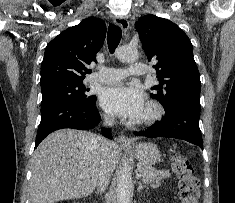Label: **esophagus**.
<instances>
[{
    "label": "esophagus",
    "instance_id": "esophagus-1",
    "mask_svg": "<svg viewBox=\"0 0 235 203\" xmlns=\"http://www.w3.org/2000/svg\"><path fill=\"white\" fill-rule=\"evenodd\" d=\"M114 23H115V25L120 27L124 33L127 32L128 28H129V21L127 20V18H125V17H121V18L115 17L114 18ZM117 143L120 146H131L132 145V141L125 135H119L117 137Z\"/></svg>",
    "mask_w": 235,
    "mask_h": 203
}]
</instances>
